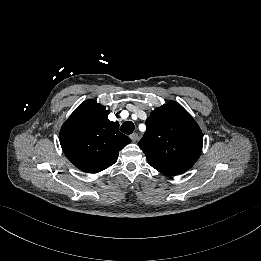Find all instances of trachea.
Masks as SVG:
<instances>
[{"instance_id": "3493384b", "label": "trachea", "mask_w": 261, "mask_h": 261, "mask_svg": "<svg viewBox=\"0 0 261 261\" xmlns=\"http://www.w3.org/2000/svg\"><path fill=\"white\" fill-rule=\"evenodd\" d=\"M134 123L132 121H126L122 124L120 127V131L123 132L124 134H131L134 131Z\"/></svg>"}]
</instances>
